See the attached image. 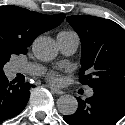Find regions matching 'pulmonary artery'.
Returning a JSON list of instances; mask_svg holds the SVG:
<instances>
[{"instance_id":"obj_1","label":"pulmonary artery","mask_w":125,"mask_h":125,"mask_svg":"<svg viewBox=\"0 0 125 125\" xmlns=\"http://www.w3.org/2000/svg\"><path fill=\"white\" fill-rule=\"evenodd\" d=\"M57 43L60 51L66 55H72L76 52L79 45V37L74 32H60L57 35ZM15 73H24L28 75H41L44 70L41 66L33 63H17L14 65ZM93 91L88 90L87 96H92Z\"/></svg>"}]
</instances>
